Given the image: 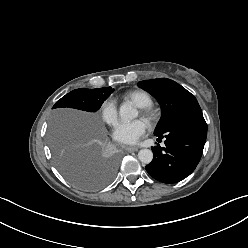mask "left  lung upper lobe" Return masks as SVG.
<instances>
[{
	"mask_svg": "<svg viewBox=\"0 0 248 248\" xmlns=\"http://www.w3.org/2000/svg\"><path fill=\"white\" fill-rule=\"evenodd\" d=\"M138 86L152 94L161 104L162 114L155 134L163 133L176 119L192 108L200 107L194 95L173 80H144Z\"/></svg>",
	"mask_w": 248,
	"mask_h": 248,
	"instance_id": "1",
	"label": "left lung upper lobe"
}]
</instances>
